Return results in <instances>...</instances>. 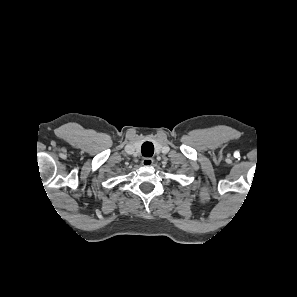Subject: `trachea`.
I'll use <instances>...</instances> for the list:
<instances>
[{"label":"trachea","mask_w":297,"mask_h":297,"mask_svg":"<svg viewBox=\"0 0 297 297\" xmlns=\"http://www.w3.org/2000/svg\"><path fill=\"white\" fill-rule=\"evenodd\" d=\"M154 153V145L151 142H144L142 144V155L144 157H151Z\"/></svg>","instance_id":"obj_1"}]
</instances>
